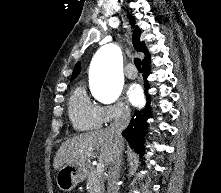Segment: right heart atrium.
I'll use <instances>...</instances> for the list:
<instances>
[{"mask_svg": "<svg viewBox=\"0 0 221 193\" xmlns=\"http://www.w3.org/2000/svg\"><path fill=\"white\" fill-rule=\"evenodd\" d=\"M102 124L108 125L113 122L127 120L131 111L122 101L100 107Z\"/></svg>", "mask_w": 221, "mask_h": 193, "instance_id": "right-heart-atrium-1", "label": "right heart atrium"}]
</instances>
